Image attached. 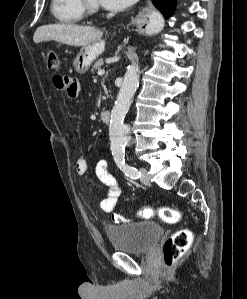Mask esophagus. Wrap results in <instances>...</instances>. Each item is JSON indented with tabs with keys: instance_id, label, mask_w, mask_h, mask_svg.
<instances>
[{
	"instance_id": "obj_1",
	"label": "esophagus",
	"mask_w": 247,
	"mask_h": 299,
	"mask_svg": "<svg viewBox=\"0 0 247 299\" xmlns=\"http://www.w3.org/2000/svg\"><path fill=\"white\" fill-rule=\"evenodd\" d=\"M148 4H149V6H151V2L150 1H148Z\"/></svg>"
}]
</instances>
